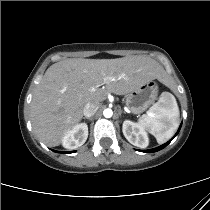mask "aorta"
<instances>
[{
    "mask_svg": "<svg viewBox=\"0 0 210 210\" xmlns=\"http://www.w3.org/2000/svg\"><path fill=\"white\" fill-rule=\"evenodd\" d=\"M103 115H104V117H106V118H110V117H112V115H113V111H112L111 109L107 108V109H105V110L103 111Z\"/></svg>",
    "mask_w": 210,
    "mask_h": 210,
    "instance_id": "obj_1",
    "label": "aorta"
}]
</instances>
